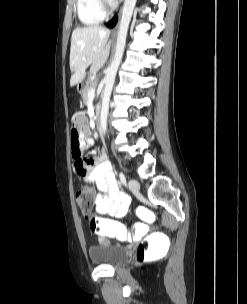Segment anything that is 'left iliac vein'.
<instances>
[{
	"label": "left iliac vein",
	"mask_w": 247,
	"mask_h": 304,
	"mask_svg": "<svg viewBox=\"0 0 247 304\" xmlns=\"http://www.w3.org/2000/svg\"><path fill=\"white\" fill-rule=\"evenodd\" d=\"M128 186H129V189L133 192V193H136L140 190V184L137 180L135 179H130L129 182H128Z\"/></svg>",
	"instance_id": "obj_1"
}]
</instances>
